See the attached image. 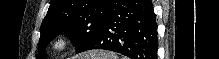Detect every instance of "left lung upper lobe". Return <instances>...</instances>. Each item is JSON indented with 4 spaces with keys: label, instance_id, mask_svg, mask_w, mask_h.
Wrapping results in <instances>:
<instances>
[{
    "label": "left lung upper lobe",
    "instance_id": "5c2ea615",
    "mask_svg": "<svg viewBox=\"0 0 219 59\" xmlns=\"http://www.w3.org/2000/svg\"><path fill=\"white\" fill-rule=\"evenodd\" d=\"M113 0H51L39 39L37 59H45V48L61 32L74 41L76 52L98 33L112 6Z\"/></svg>",
    "mask_w": 219,
    "mask_h": 59
}]
</instances>
